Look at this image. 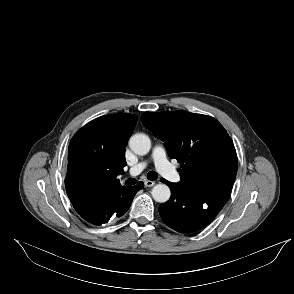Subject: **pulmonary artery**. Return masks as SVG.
I'll use <instances>...</instances> for the list:
<instances>
[{"mask_svg":"<svg viewBox=\"0 0 294 294\" xmlns=\"http://www.w3.org/2000/svg\"><path fill=\"white\" fill-rule=\"evenodd\" d=\"M151 159L156 169L165 177L170 180L176 181L179 179V174L175 171L172 165L167 160L166 151L163 146L156 145L151 154ZM147 166V162H140L137 165L130 168L128 174L136 176L141 173Z\"/></svg>","mask_w":294,"mask_h":294,"instance_id":"1","label":"pulmonary artery"}]
</instances>
